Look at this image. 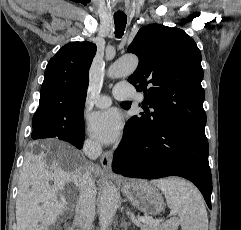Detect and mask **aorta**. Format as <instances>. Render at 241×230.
Returning a JSON list of instances; mask_svg holds the SVG:
<instances>
[{
    "label": "aorta",
    "instance_id": "aorta-1",
    "mask_svg": "<svg viewBox=\"0 0 241 230\" xmlns=\"http://www.w3.org/2000/svg\"><path fill=\"white\" fill-rule=\"evenodd\" d=\"M138 66V58L135 55L124 56L115 61L110 69L109 76L121 78L131 75ZM119 193L115 185L106 181L102 186L100 200V230H106L116 214L118 208Z\"/></svg>",
    "mask_w": 241,
    "mask_h": 230
}]
</instances>
